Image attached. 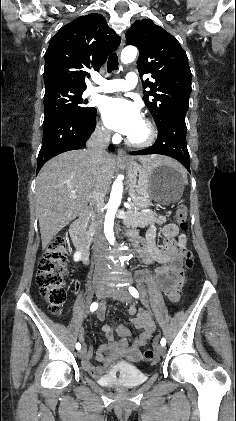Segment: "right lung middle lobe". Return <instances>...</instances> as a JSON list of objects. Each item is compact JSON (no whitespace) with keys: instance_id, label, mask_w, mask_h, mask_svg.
Segmentation results:
<instances>
[{"instance_id":"right-lung-middle-lobe-1","label":"right lung middle lobe","mask_w":236,"mask_h":421,"mask_svg":"<svg viewBox=\"0 0 236 421\" xmlns=\"http://www.w3.org/2000/svg\"><path fill=\"white\" fill-rule=\"evenodd\" d=\"M80 89H65L61 87H45L44 95V120L55 116L66 115L77 119H85L96 109L85 107L88 101L82 99Z\"/></svg>"}]
</instances>
